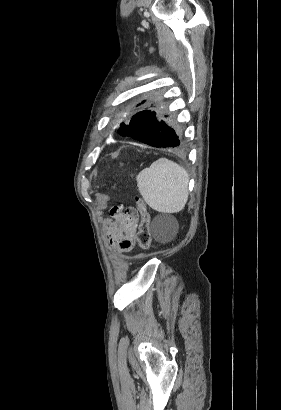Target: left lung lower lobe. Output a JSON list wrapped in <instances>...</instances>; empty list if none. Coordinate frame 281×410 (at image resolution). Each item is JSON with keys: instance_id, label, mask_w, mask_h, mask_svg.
Instances as JSON below:
<instances>
[{"instance_id": "obj_1", "label": "left lung lower lobe", "mask_w": 281, "mask_h": 410, "mask_svg": "<svg viewBox=\"0 0 281 410\" xmlns=\"http://www.w3.org/2000/svg\"><path fill=\"white\" fill-rule=\"evenodd\" d=\"M124 136L154 147H183L180 137L163 120H158L154 110L145 109L133 116L129 124H123Z\"/></svg>"}]
</instances>
